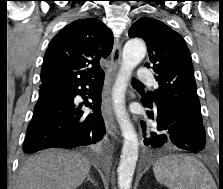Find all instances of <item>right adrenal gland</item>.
Masks as SVG:
<instances>
[{
	"mask_svg": "<svg viewBox=\"0 0 223 189\" xmlns=\"http://www.w3.org/2000/svg\"><path fill=\"white\" fill-rule=\"evenodd\" d=\"M87 181H90L91 183L95 184V182L92 180L89 174L87 175Z\"/></svg>",
	"mask_w": 223,
	"mask_h": 189,
	"instance_id": "1",
	"label": "right adrenal gland"
}]
</instances>
